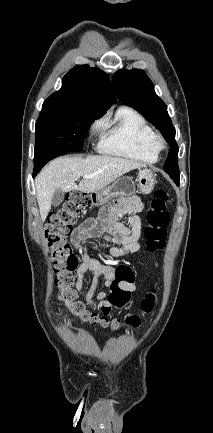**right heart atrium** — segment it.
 Segmentation results:
<instances>
[{
  "instance_id": "right-heart-atrium-1",
  "label": "right heart atrium",
  "mask_w": 213,
  "mask_h": 433,
  "mask_svg": "<svg viewBox=\"0 0 213 433\" xmlns=\"http://www.w3.org/2000/svg\"><path fill=\"white\" fill-rule=\"evenodd\" d=\"M101 123L99 121L95 122L92 126H91V131L95 132L96 130L99 129Z\"/></svg>"
}]
</instances>
